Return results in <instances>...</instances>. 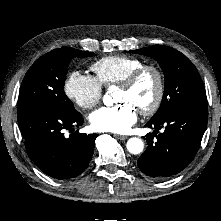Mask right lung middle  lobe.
<instances>
[{
  "label": "right lung middle lobe",
  "mask_w": 221,
  "mask_h": 221,
  "mask_svg": "<svg viewBox=\"0 0 221 221\" xmlns=\"http://www.w3.org/2000/svg\"><path fill=\"white\" fill-rule=\"evenodd\" d=\"M93 54L62 47L40 57L23 79L17 108L30 104H42L65 114L78 113L63 89L67 67L72 58L89 57Z\"/></svg>",
  "instance_id": "1"
}]
</instances>
